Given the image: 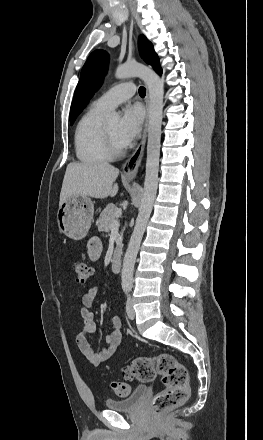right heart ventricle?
<instances>
[{
    "mask_svg": "<svg viewBox=\"0 0 263 440\" xmlns=\"http://www.w3.org/2000/svg\"><path fill=\"white\" fill-rule=\"evenodd\" d=\"M106 111L107 109L94 102L78 121L74 142L76 156L82 162L96 163L110 159L103 138Z\"/></svg>",
    "mask_w": 263,
    "mask_h": 440,
    "instance_id": "obj_1",
    "label": "right heart ventricle"
}]
</instances>
